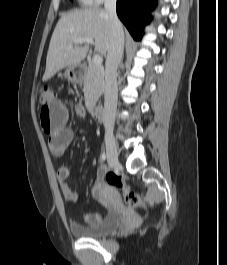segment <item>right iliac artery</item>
Returning <instances> with one entry per match:
<instances>
[{
	"instance_id": "82829eb1",
	"label": "right iliac artery",
	"mask_w": 227,
	"mask_h": 265,
	"mask_svg": "<svg viewBox=\"0 0 227 265\" xmlns=\"http://www.w3.org/2000/svg\"><path fill=\"white\" fill-rule=\"evenodd\" d=\"M101 160H102V161H105V160H106V155H105V153H102V155H101Z\"/></svg>"
}]
</instances>
